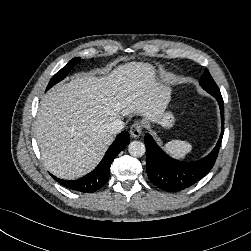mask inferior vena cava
<instances>
[{
    "mask_svg": "<svg viewBox=\"0 0 251 251\" xmlns=\"http://www.w3.org/2000/svg\"><path fill=\"white\" fill-rule=\"evenodd\" d=\"M124 128V122L116 119L108 125V131L112 134L119 133Z\"/></svg>",
    "mask_w": 251,
    "mask_h": 251,
    "instance_id": "inferior-vena-cava-1",
    "label": "inferior vena cava"
}]
</instances>
